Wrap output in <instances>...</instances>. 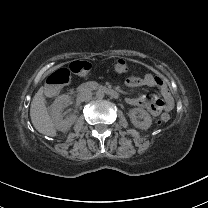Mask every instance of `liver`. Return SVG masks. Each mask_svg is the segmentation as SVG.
Wrapping results in <instances>:
<instances>
[{"mask_svg":"<svg viewBox=\"0 0 208 208\" xmlns=\"http://www.w3.org/2000/svg\"><path fill=\"white\" fill-rule=\"evenodd\" d=\"M44 88L41 87L35 94L30 107L31 121L35 129L44 135L56 136V129L53 121L47 112L45 98L43 96Z\"/></svg>","mask_w":208,"mask_h":208,"instance_id":"1","label":"liver"}]
</instances>
